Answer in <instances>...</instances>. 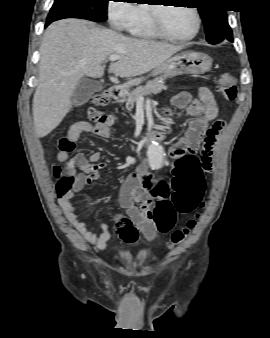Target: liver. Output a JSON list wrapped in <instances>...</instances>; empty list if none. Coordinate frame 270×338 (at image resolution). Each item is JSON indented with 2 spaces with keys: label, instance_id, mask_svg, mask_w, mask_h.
Returning <instances> with one entry per match:
<instances>
[{
  "label": "liver",
  "instance_id": "1",
  "mask_svg": "<svg viewBox=\"0 0 270 338\" xmlns=\"http://www.w3.org/2000/svg\"><path fill=\"white\" fill-rule=\"evenodd\" d=\"M183 47L125 37L80 19L52 23L40 45L39 85L33 97L37 137L47 136L61 123L70 110L78 82L84 76L101 77L102 64L109 56L122 57L109 72L128 78L160 66Z\"/></svg>",
  "mask_w": 270,
  "mask_h": 338
}]
</instances>
